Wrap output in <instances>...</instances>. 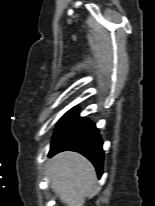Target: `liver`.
I'll return each instance as SVG.
<instances>
[{"mask_svg":"<svg viewBox=\"0 0 155 206\" xmlns=\"http://www.w3.org/2000/svg\"><path fill=\"white\" fill-rule=\"evenodd\" d=\"M48 174L53 191L67 206H83L97 181L91 162L71 151L54 156L49 162Z\"/></svg>","mask_w":155,"mask_h":206,"instance_id":"liver-1","label":"liver"}]
</instances>
